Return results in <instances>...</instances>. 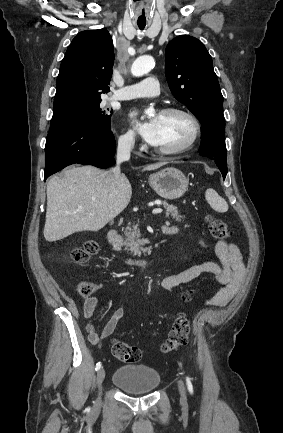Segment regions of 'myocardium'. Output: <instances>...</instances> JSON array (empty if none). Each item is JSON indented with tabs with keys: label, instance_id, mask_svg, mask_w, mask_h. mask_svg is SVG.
Here are the masks:
<instances>
[{
	"label": "myocardium",
	"instance_id": "myocardium-1",
	"mask_svg": "<svg viewBox=\"0 0 283 433\" xmlns=\"http://www.w3.org/2000/svg\"><path fill=\"white\" fill-rule=\"evenodd\" d=\"M160 114H183L188 117L193 124L192 136L182 147L171 151H160V154L165 157L171 158L188 153L195 146L201 136L202 123L200 119L189 109L180 106L165 107L160 111Z\"/></svg>",
	"mask_w": 283,
	"mask_h": 433
}]
</instances>
